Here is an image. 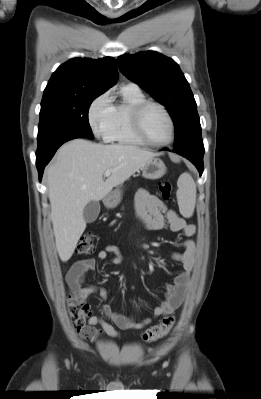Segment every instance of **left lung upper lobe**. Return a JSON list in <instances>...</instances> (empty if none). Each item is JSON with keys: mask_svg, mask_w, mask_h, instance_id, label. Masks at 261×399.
Instances as JSON below:
<instances>
[{"mask_svg": "<svg viewBox=\"0 0 261 399\" xmlns=\"http://www.w3.org/2000/svg\"><path fill=\"white\" fill-rule=\"evenodd\" d=\"M120 71L168 109L174 126V150L204 151L197 106L178 64L158 52L145 51L117 59Z\"/></svg>", "mask_w": 261, "mask_h": 399, "instance_id": "obj_1", "label": "left lung upper lobe"}]
</instances>
